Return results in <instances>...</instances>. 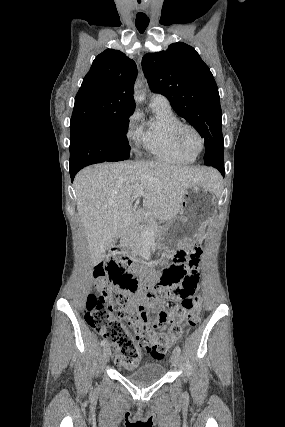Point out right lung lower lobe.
I'll return each mask as SVG.
<instances>
[{
    "label": "right lung lower lobe",
    "instance_id": "obj_1",
    "mask_svg": "<svg viewBox=\"0 0 285 427\" xmlns=\"http://www.w3.org/2000/svg\"><path fill=\"white\" fill-rule=\"evenodd\" d=\"M77 172L78 171H76V170H70V176H71L72 180L74 179V176L76 175Z\"/></svg>",
    "mask_w": 285,
    "mask_h": 427
}]
</instances>
